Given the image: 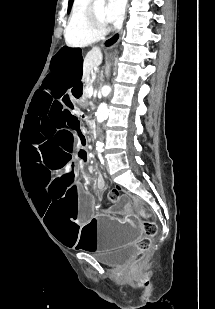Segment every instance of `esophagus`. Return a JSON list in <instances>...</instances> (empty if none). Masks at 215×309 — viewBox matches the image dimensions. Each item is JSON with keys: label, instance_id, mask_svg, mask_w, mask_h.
Wrapping results in <instances>:
<instances>
[{"label": "esophagus", "instance_id": "34e87169", "mask_svg": "<svg viewBox=\"0 0 215 309\" xmlns=\"http://www.w3.org/2000/svg\"><path fill=\"white\" fill-rule=\"evenodd\" d=\"M122 32H123V30H122V25H121L116 30V32L113 35H111V37H109V39H107V40H105V42H103L102 46L104 48H111L114 45H116L122 37Z\"/></svg>", "mask_w": 215, "mask_h": 309}]
</instances>
